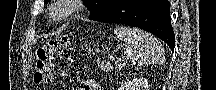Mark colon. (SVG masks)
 <instances>
[{
  "label": "colon",
  "instance_id": "colon-1",
  "mask_svg": "<svg viewBox=\"0 0 216 90\" xmlns=\"http://www.w3.org/2000/svg\"><path fill=\"white\" fill-rule=\"evenodd\" d=\"M66 37L51 39L40 45L36 50V69L34 83L37 86L47 84L52 77V70L56 57L67 47Z\"/></svg>",
  "mask_w": 216,
  "mask_h": 90
}]
</instances>
